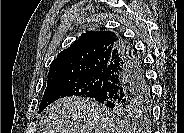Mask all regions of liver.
I'll list each match as a JSON object with an SVG mask.
<instances>
[{
    "label": "liver",
    "mask_w": 184,
    "mask_h": 133,
    "mask_svg": "<svg viewBox=\"0 0 184 133\" xmlns=\"http://www.w3.org/2000/svg\"><path fill=\"white\" fill-rule=\"evenodd\" d=\"M42 133H130V125L91 98L66 97L48 106L41 117Z\"/></svg>",
    "instance_id": "1"
}]
</instances>
